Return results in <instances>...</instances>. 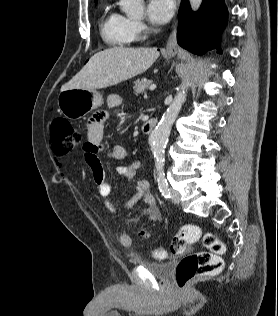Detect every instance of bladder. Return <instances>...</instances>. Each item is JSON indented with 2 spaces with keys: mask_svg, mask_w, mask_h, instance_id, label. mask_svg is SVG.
<instances>
[{
  "mask_svg": "<svg viewBox=\"0 0 278 316\" xmlns=\"http://www.w3.org/2000/svg\"><path fill=\"white\" fill-rule=\"evenodd\" d=\"M132 263L149 271L157 278L166 279L172 274L174 264L171 261L157 262L141 258H132Z\"/></svg>",
  "mask_w": 278,
  "mask_h": 316,
  "instance_id": "1",
  "label": "bladder"
}]
</instances>
